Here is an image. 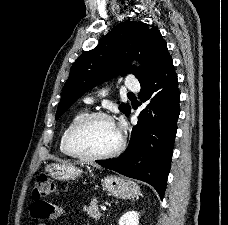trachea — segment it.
Returning <instances> with one entry per match:
<instances>
[{
	"label": "trachea",
	"mask_w": 228,
	"mask_h": 225,
	"mask_svg": "<svg viewBox=\"0 0 228 225\" xmlns=\"http://www.w3.org/2000/svg\"><path fill=\"white\" fill-rule=\"evenodd\" d=\"M128 97L129 98H133L134 97V94H132V92H128Z\"/></svg>",
	"instance_id": "obj_1"
}]
</instances>
